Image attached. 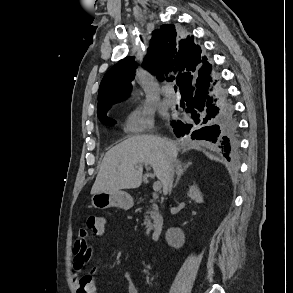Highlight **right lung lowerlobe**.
<instances>
[{
    "mask_svg": "<svg viewBox=\"0 0 293 293\" xmlns=\"http://www.w3.org/2000/svg\"><path fill=\"white\" fill-rule=\"evenodd\" d=\"M211 69L212 65L205 62L195 78L180 91L192 121L174 122L171 125L178 137L189 136L217 143L223 155L230 160L229 155L238 146L237 121L232 106L223 96L213 98L208 94L209 82H212L209 77Z\"/></svg>",
    "mask_w": 293,
    "mask_h": 293,
    "instance_id": "right-lung-lower-lobe-1",
    "label": "right lung lower lobe"
}]
</instances>
